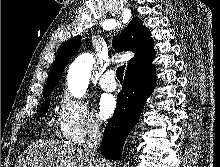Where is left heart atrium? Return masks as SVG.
Listing matches in <instances>:
<instances>
[{
    "label": "left heart atrium",
    "mask_w": 220,
    "mask_h": 167,
    "mask_svg": "<svg viewBox=\"0 0 220 167\" xmlns=\"http://www.w3.org/2000/svg\"><path fill=\"white\" fill-rule=\"evenodd\" d=\"M116 110V100L112 95H102L98 103V112L101 119H108Z\"/></svg>",
    "instance_id": "left-heart-atrium-1"
}]
</instances>
